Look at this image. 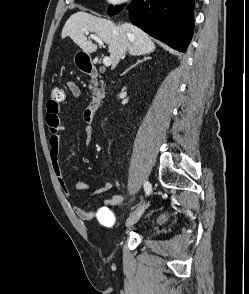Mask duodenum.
I'll return each mask as SVG.
<instances>
[{
	"instance_id": "obj_1",
	"label": "duodenum",
	"mask_w": 249,
	"mask_h": 294,
	"mask_svg": "<svg viewBox=\"0 0 249 294\" xmlns=\"http://www.w3.org/2000/svg\"><path fill=\"white\" fill-rule=\"evenodd\" d=\"M82 71L89 76L96 78L98 76V70L97 68L93 65V63H86L85 65L82 66ZM102 103V98L99 93H94L92 97L90 98L89 104L86 108V113L87 116L90 119H93L94 116L96 115L99 107L101 106Z\"/></svg>"
}]
</instances>
